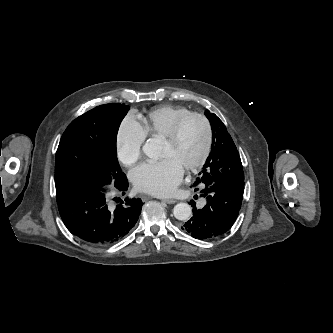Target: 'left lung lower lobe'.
<instances>
[{
    "instance_id": "obj_1",
    "label": "left lung lower lobe",
    "mask_w": 333,
    "mask_h": 333,
    "mask_svg": "<svg viewBox=\"0 0 333 333\" xmlns=\"http://www.w3.org/2000/svg\"><path fill=\"white\" fill-rule=\"evenodd\" d=\"M193 186L202 187L200 192L206 198V205L197 208L196 203L191 201L193 216L182 229L200 240L213 239L227 232L239 214L244 181L217 183L197 178Z\"/></svg>"
}]
</instances>
